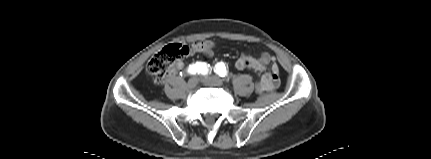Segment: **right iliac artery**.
Segmentation results:
<instances>
[{
	"instance_id": "obj_1",
	"label": "right iliac artery",
	"mask_w": 431,
	"mask_h": 159,
	"mask_svg": "<svg viewBox=\"0 0 431 159\" xmlns=\"http://www.w3.org/2000/svg\"><path fill=\"white\" fill-rule=\"evenodd\" d=\"M209 65L207 66V64L202 63V62H196L195 64H191L188 67V73L192 74V75H196V74H201V75H206L208 74L209 71Z\"/></svg>"
}]
</instances>
